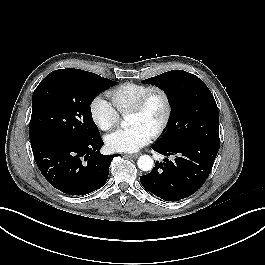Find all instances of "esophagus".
Listing matches in <instances>:
<instances>
[{
  "label": "esophagus",
  "instance_id": "34e87169",
  "mask_svg": "<svg viewBox=\"0 0 265 265\" xmlns=\"http://www.w3.org/2000/svg\"><path fill=\"white\" fill-rule=\"evenodd\" d=\"M125 156L132 158V159H136L139 156V154H126Z\"/></svg>",
  "mask_w": 265,
  "mask_h": 265
}]
</instances>
